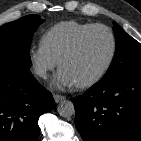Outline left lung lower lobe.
Masks as SVG:
<instances>
[{"mask_svg":"<svg viewBox=\"0 0 141 141\" xmlns=\"http://www.w3.org/2000/svg\"><path fill=\"white\" fill-rule=\"evenodd\" d=\"M72 101L83 141L141 139V69L102 79Z\"/></svg>","mask_w":141,"mask_h":141,"instance_id":"1","label":"left lung lower lobe"}]
</instances>
